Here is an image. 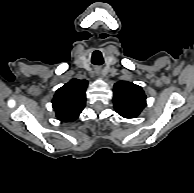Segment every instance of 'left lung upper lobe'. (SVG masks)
<instances>
[{"mask_svg":"<svg viewBox=\"0 0 194 193\" xmlns=\"http://www.w3.org/2000/svg\"><path fill=\"white\" fill-rule=\"evenodd\" d=\"M114 107L124 118H135L146 106V95L134 83L120 81L114 85Z\"/></svg>","mask_w":194,"mask_h":193,"instance_id":"1","label":"left lung upper lobe"}]
</instances>
